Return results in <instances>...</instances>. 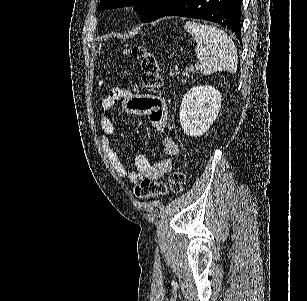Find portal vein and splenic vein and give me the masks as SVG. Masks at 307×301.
<instances>
[{"mask_svg":"<svg viewBox=\"0 0 307 301\" xmlns=\"http://www.w3.org/2000/svg\"><path fill=\"white\" fill-rule=\"evenodd\" d=\"M195 68H198L199 64H194Z\"/></svg>","mask_w":307,"mask_h":301,"instance_id":"portal-vein-and-splenic-vein-1","label":"portal vein and splenic vein"}]
</instances>
